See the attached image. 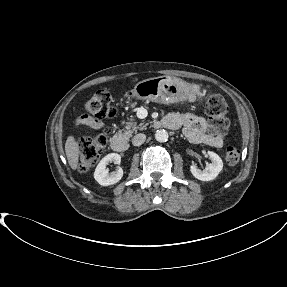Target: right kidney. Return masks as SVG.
<instances>
[{
	"label": "right kidney",
	"mask_w": 287,
	"mask_h": 287,
	"mask_svg": "<svg viewBox=\"0 0 287 287\" xmlns=\"http://www.w3.org/2000/svg\"><path fill=\"white\" fill-rule=\"evenodd\" d=\"M112 162L120 164L121 156L117 153H110L102 158L95 169L94 178L102 186L113 185L119 182L123 177V170L121 167H118L116 171L109 173L107 165Z\"/></svg>",
	"instance_id": "right-kidney-1"
}]
</instances>
